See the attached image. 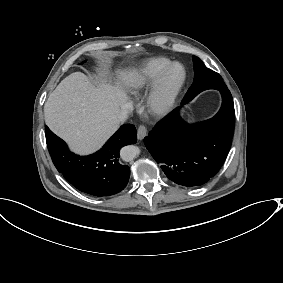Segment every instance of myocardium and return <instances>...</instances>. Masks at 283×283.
<instances>
[{"label": "myocardium", "mask_w": 283, "mask_h": 283, "mask_svg": "<svg viewBox=\"0 0 283 283\" xmlns=\"http://www.w3.org/2000/svg\"><path fill=\"white\" fill-rule=\"evenodd\" d=\"M175 66H181L183 70L180 81L168 92L164 90V80L167 74ZM187 82V69L181 62H171L153 80L147 98V111L154 116H163L168 114L174 107L181 91Z\"/></svg>", "instance_id": "myocardium-1"}]
</instances>
